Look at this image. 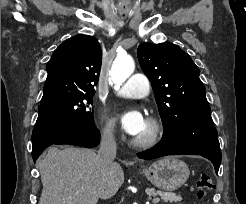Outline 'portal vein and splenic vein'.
<instances>
[{"mask_svg": "<svg viewBox=\"0 0 246 204\" xmlns=\"http://www.w3.org/2000/svg\"><path fill=\"white\" fill-rule=\"evenodd\" d=\"M160 201V198L156 197L152 200L153 203H158Z\"/></svg>", "mask_w": 246, "mask_h": 204, "instance_id": "18ae733b", "label": "portal vein and splenic vein"}]
</instances>
